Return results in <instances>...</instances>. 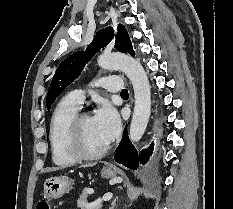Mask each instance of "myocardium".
<instances>
[{"mask_svg":"<svg viewBox=\"0 0 233 209\" xmlns=\"http://www.w3.org/2000/svg\"><path fill=\"white\" fill-rule=\"evenodd\" d=\"M91 117L89 113L77 114L69 123L66 132V146L68 152L78 160H96L103 157L109 150L107 143L102 149L96 152H89L81 145L80 127L84 119Z\"/></svg>","mask_w":233,"mask_h":209,"instance_id":"1","label":"myocardium"}]
</instances>
